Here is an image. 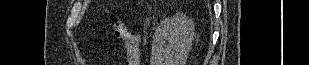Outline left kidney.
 Listing matches in <instances>:
<instances>
[{
    "mask_svg": "<svg viewBox=\"0 0 309 65\" xmlns=\"http://www.w3.org/2000/svg\"><path fill=\"white\" fill-rule=\"evenodd\" d=\"M194 36L192 19L183 14L166 18L156 29L151 50V65H185ZM168 41V45H165Z\"/></svg>",
    "mask_w": 309,
    "mask_h": 65,
    "instance_id": "5707ae66",
    "label": "left kidney"
}]
</instances>
